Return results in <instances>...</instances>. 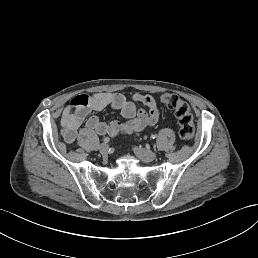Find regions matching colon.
Instances as JSON below:
<instances>
[{"label":"colon","instance_id":"colon-1","mask_svg":"<svg viewBox=\"0 0 258 258\" xmlns=\"http://www.w3.org/2000/svg\"><path fill=\"white\" fill-rule=\"evenodd\" d=\"M161 102L174 112L179 125V135L184 140H191L195 133L194 119L188 103L175 94H164Z\"/></svg>","mask_w":258,"mask_h":258}]
</instances>
